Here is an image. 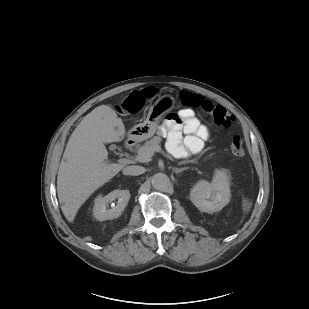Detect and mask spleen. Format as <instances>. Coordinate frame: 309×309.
Instances as JSON below:
<instances>
[{
  "label": "spleen",
  "instance_id": "3e777b00",
  "mask_svg": "<svg viewBox=\"0 0 309 309\" xmlns=\"http://www.w3.org/2000/svg\"><path fill=\"white\" fill-rule=\"evenodd\" d=\"M251 208V202H249L247 199L243 200V210L245 212H248Z\"/></svg>",
  "mask_w": 309,
  "mask_h": 309
}]
</instances>
